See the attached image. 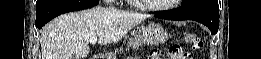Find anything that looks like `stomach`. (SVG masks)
Segmentation results:
<instances>
[{
  "label": "stomach",
  "mask_w": 261,
  "mask_h": 59,
  "mask_svg": "<svg viewBox=\"0 0 261 59\" xmlns=\"http://www.w3.org/2000/svg\"><path fill=\"white\" fill-rule=\"evenodd\" d=\"M169 38L167 30L157 23H149L139 29L133 38L129 39L128 45L138 49L143 45H158L165 43Z\"/></svg>",
  "instance_id": "0dacf381"
}]
</instances>
